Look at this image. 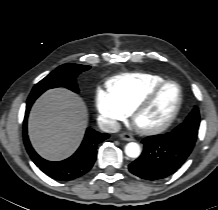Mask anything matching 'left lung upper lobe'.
Listing matches in <instances>:
<instances>
[{
  "label": "left lung upper lobe",
  "instance_id": "5c2ea615",
  "mask_svg": "<svg viewBox=\"0 0 218 210\" xmlns=\"http://www.w3.org/2000/svg\"><path fill=\"white\" fill-rule=\"evenodd\" d=\"M199 123V110L198 107L195 106L192 112L186 118V120L182 124H180V127L183 128L180 131H184V136H190L193 139V142H195L198 134ZM172 132H175V129Z\"/></svg>",
  "mask_w": 218,
  "mask_h": 210
}]
</instances>
